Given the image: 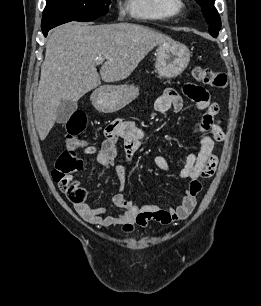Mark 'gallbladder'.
Wrapping results in <instances>:
<instances>
[{
  "label": "gallbladder",
  "mask_w": 261,
  "mask_h": 306,
  "mask_svg": "<svg viewBox=\"0 0 261 306\" xmlns=\"http://www.w3.org/2000/svg\"><path fill=\"white\" fill-rule=\"evenodd\" d=\"M77 102L72 100H62L57 109L56 121L66 123L71 115L77 110Z\"/></svg>",
  "instance_id": "gallbladder-1"
}]
</instances>
